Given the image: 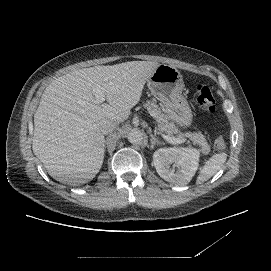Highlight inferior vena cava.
Listing matches in <instances>:
<instances>
[{
  "label": "inferior vena cava",
  "instance_id": "inferior-vena-cava-1",
  "mask_svg": "<svg viewBox=\"0 0 271 271\" xmlns=\"http://www.w3.org/2000/svg\"><path fill=\"white\" fill-rule=\"evenodd\" d=\"M119 123L113 120H109L101 126V131L104 134H108L118 127Z\"/></svg>",
  "mask_w": 271,
  "mask_h": 271
}]
</instances>
